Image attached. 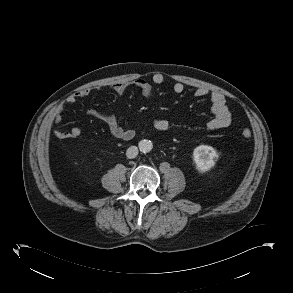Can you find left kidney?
Returning a JSON list of instances; mask_svg holds the SVG:
<instances>
[{"instance_id":"5707ae66","label":"left kidney","mask_w":293,"mask_h":293,"mask_svg":"<svg viewBox=\"0 0 293 293\" xmlns=\"http://www.w3.org/2000/svg\"><path fill=\"white\" fill-rule=\"evenodd\" d=\"M218 154L212 146L200 145L193 151V160L199 172L204 173L214 167Z\"/></svg>"}]
</instances>
